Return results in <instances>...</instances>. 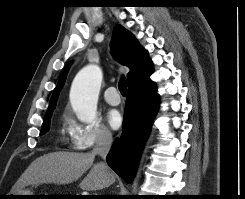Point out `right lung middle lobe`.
Wrapping results in <instances>:
<instances>
[{
	"label": "right lung middle lobe",
	"mask_w": 245,
	"mask_h": 199,
	"mask_svg": "<svg viewBox=\"0 0 245 199\" xmlns=\"http://www.w3.org/2000/svg\"><path fill=\"white\" fill-rule=\"evenodd\" d=\"M52 114H49L44 117L43 124H42V129L40 134H44L49 130V123H50V118Z\"/></svg>",
	"instance_id": "1"
}]
</instances>
